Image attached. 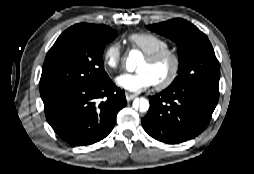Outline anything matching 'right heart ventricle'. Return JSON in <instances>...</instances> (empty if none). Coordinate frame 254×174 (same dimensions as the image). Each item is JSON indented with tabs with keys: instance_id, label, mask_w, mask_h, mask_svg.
<instances>
[{
	"instance_id": "1",
	"label": "right heart ventricle",
	"mask_w": 254,
	"mask_h": 174,
	"mask_svg": "<svg viewBox=\"0 0 254 174\" xmlns=\"http://www.w3.org/2000/svg\"><path fill=\"white\" fill-rule=\"evenodd\" d=\"M128 40L131 46L148 55L161 49L169 48V42L151 32H139L129 35Z\"/></svg>"
}]
</instances>
